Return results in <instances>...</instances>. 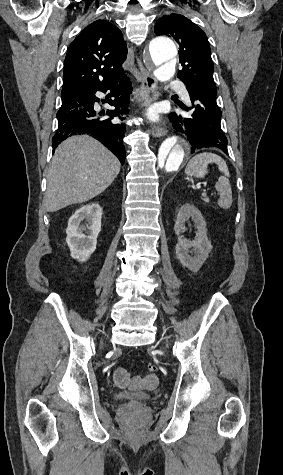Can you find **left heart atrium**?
<instances>
[{"label":"left heart atrium","instance_id":"39dd6f15","mask_svg":"<svg viewBox=\"0 0 283 475\" xmlns=\"http://www.w3.org/2000/svg\"><path fill=\"white\" fill-rule=\"evenodd\" d=\"M147 118L150 120V121H154L156 120V112L151 109L147 112Z\"/></svg>","mask_w":283,"mask_h":475}]
</instances>
